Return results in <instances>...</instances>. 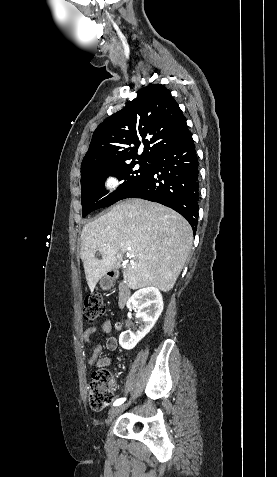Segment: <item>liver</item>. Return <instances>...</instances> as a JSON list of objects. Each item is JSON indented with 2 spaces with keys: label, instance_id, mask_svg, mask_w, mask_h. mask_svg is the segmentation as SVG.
Segmentation results:
<instances>
[{
  "label": "liver",
  "instance_id": "1",
  "mask_svg": "<svg viewBox=\"0 0 277 477\" xmlns=\"http://www.w3.org/2000/svg\"><path fill=\"white\" fill-rule=\"evenodd\" d=\"M192 242L191 226L171 208L138 198L122 201L82 229L80 257L89 289L119 268L123 253L131 248L135 257L124 269V283L133 290L154 286L168 292ZM98 251L101 260L95 257Z\"/></svg>",
  "mask_w": 277,
  "mask_h": 477
}]
</instances>
